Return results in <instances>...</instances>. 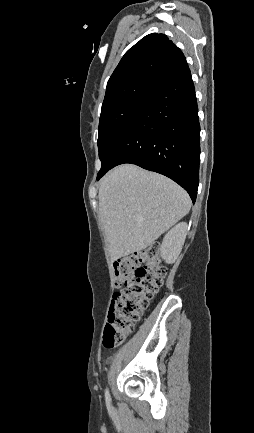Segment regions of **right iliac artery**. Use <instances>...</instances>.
<instances>
[{"instance_id": "82829eb1", "label": "right iliac artery", "mask_w": 254, "mask_h": 433, "mask_svg": "<svg viewBox=\"0 0 254 433\" xmlns=\"http://www.w3.org/2000/svg\"><path fill=\"white\" fill-rule=\"evenodd\" d=\"M105 398H106V402H107V404H110V402H111V397H110V394H109L108 389H106V391H105Z\"/></svg>"}]
</instances>
